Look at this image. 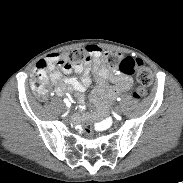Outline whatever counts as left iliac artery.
Instances as JSON below:
<instances>
[{"instance_id": "left-iliac-artery-1", "label": "left iliac artery", "mask_w": 183, "mask_h": 183, "mask_svg": "<svg viewBox=\"0 0 183 183\" xmlns=\"http://www.w3.org/2000/svg\"><path fill=\"white\" fill-rule=\"evenodd\" d=\"M117 101H121V98H120V97H118V98H117Z\"/></svg>"}]
</instances>
